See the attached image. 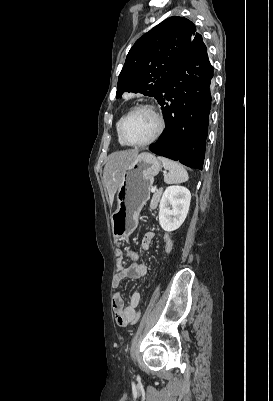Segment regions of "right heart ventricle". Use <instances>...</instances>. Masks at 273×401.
<instances>
[{
    "label": "right heart ventricle",
    "instance_id": "obj_1",
    "mask_svg": "<svg viewBox=\"0 0 273 401\" xmlns=\"http://www.w3.org/2000/svg\"><path fill=\"white\" fill-rule=\"evenodd\" d=\"M128 108H124L123 109V111L120 113V115H119V117L117 118V120H116V123H115V130H116V135H117V139H118V142H119V144L121 145V146H125V144L120 140V138H119V135H118V127H119V123H120V121H121V119H122V117L128 112Z\"/></svg>",
    "mask_w": 273,
    "mask_h": 401
}]
</instances>
